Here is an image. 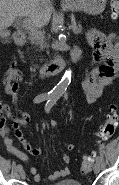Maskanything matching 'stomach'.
I'll return each mask as SVG.
<instances>
[{"label": "stomach", "mask_w": 119, "mask_h": 185, "mask_svg": "<svg viewBox=\"0 0 119 185\" xmlns=\"http://www.w3.org/2000/svg\"><path fill=\"white\" fill-rule=\"evenodd\" d=\"M107 0H73L70 9L84 11L90 15H98L105 9Z\"/></svg>", "instance_id": "1"}]
</instances>
